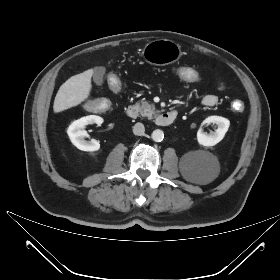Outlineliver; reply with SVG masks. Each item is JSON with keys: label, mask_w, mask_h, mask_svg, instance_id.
I'll use <instances>...</instances> for the list:
<instances>
[{"label": "liver", "mask_w": 280, "mask_h": 280, "mask_svg": "<svg viewBox=\"0 0 280 280\" xmlns=\"http://www.w3.org/2000/svg\"><path fill=\"white\" fill-rule=\"evenodd\" d=\"M93 69L70 77L63 83L54 100L53 110L55 113L75 107L85 101L91 92V77Z\"/></svg>", "instance_id": "obj_1"}]
</instances>
